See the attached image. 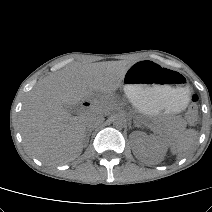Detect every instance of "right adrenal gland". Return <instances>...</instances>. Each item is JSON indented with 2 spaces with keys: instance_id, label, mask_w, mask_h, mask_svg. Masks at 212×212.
Instances as JSON below:
<instances>
[{
  "instance_id": "1",
  "label": "right adrenal gland",
  "mask_w": 212,
  "mask_h": 212,
  "mask_svg": "<svg viewBox=\"0 0 212 212\" xmlns=\"http://www.w3.org/2000/svg\"><path fill=\"white\" fill-rule=\"evenodd\" d=\"M92 130H93V129H87L86 132H85L84 141H85L86 145H87L88 142H89V139H90Z\"/></svg>"
}]
</instances>
